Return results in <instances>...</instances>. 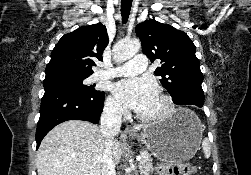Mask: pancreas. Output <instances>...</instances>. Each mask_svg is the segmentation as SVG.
<instances>
[{
  "instance_id": "1",
  "label": "pancreas",
  "mask_w": 251,
  "mask_h": 175,
  "mask_svg": "<svg viewBox=\"0 0 251 175\" xmlns=\"http://www.w3.org/2000/svg\"><path fill=\"white\" fill-rule=\"evenodd\" d=\"M140 155L141 159L139 161V169H141V173H143V175H150V173L154 171V167L152 165L153 159L146 149H141Z\"/></svg>"
}]
</instances>
